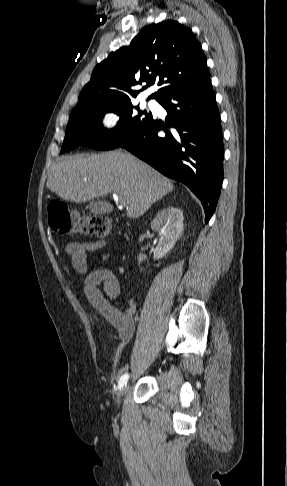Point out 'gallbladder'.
Masks as SVG:
<instances>
[{"mask_svg": "<svg viewBox=\"0 0 287 486\" xmlns=\"http://www.w3.org/2000/svg\"><path fill=\"white\" fill-rule=\"evenodd\" d=\"M86 209L94 215H103L111 211V206L106 201L91 200L86 206Z\"/></svg>", "mask_w": 287, "mask_h": 486, "instance_id": "obj_1", "label": "gallbladder"}]
</instances>
